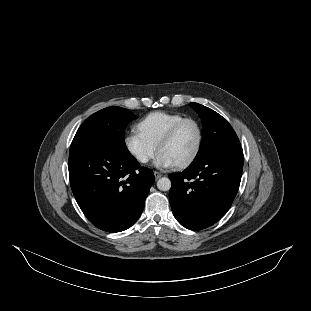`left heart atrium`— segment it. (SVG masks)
Instances as JSON below:
<instances>
[{"instance_id":"left-heart-atrium-1","label":"left heart atrium","mask_w":311,"mask_h":311,"mask_svg":"<svg viewBox=\"0 0 311 311\" xmlns=\"http://www.w3.org/2000/svg\"><path fill=\"white\" fill-rule=\"evenodd\" d=\"M154 165L157 168H171L177 166V163L171 159L167 154L160 153L156 158Z\"/></svg>"}]
</instances>
